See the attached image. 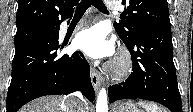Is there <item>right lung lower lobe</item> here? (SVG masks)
<instances>
[{"label":"right lung lower lobe","mask_w":193,"mask_h":112,"mask_svg":"<svg viewBox=\"0 0 193 112\" xmlns=\"http://www.w3.org/2000/svg\"><path fill=\"white\" fill-rule=\"evenodd\" d=\"M59 29L60 25L15 46L7 112H16L40 96L66 95L76 90L91 102L95 99L90 67L83 54L59 55ZM65 45L63 42L61 49Z\"/></svg>","instance_id":"1"}]
</instances>
